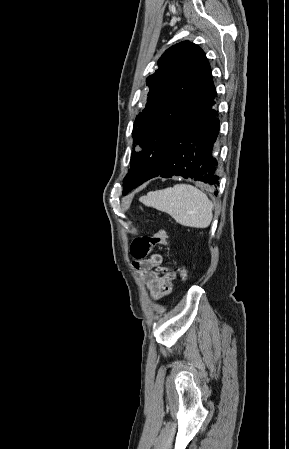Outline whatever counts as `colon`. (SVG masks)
Listing matches in <instances>:
<instances>
[{
    "label": "colon",
    "instance_id": "obj_1",
    "mask_svg": "<svg viewBox=\"0 0 289 449\" xmlns=\"http://www.w3.org/2000/svg\"><path fill=\"white\" fill-rule=\"evenodd\" d=\"M167 238L168 234L162 228L151 236L136 237L131 243V254L136 259L146 258L152 252L154 246L165 245ZM177 272L182 281L188 280V272L184 267H178Z\"/></svg>",
    "mask_w": 289,
    "mask_h": 449
}]
</instances>
